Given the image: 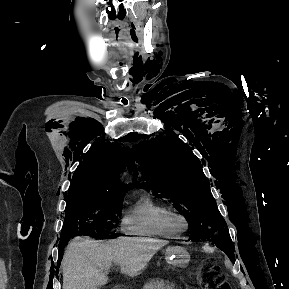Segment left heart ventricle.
<instances>
[{
    "instance_id": "left-heart-ventricle-1",
    "label": "left heart ventricle",
    "mask_w": 289,
    "mask_h": 289,
    "mask_svg": "<svg viewBox=\"0 0 289 289\" xmlns=\"http://www.w3.org/2000/svg\"><path fill=\"white\" fill-rule=\"evenodd\" d=\"M175 227H176V228H182V227H183V223L180 222L179 220H177V221L175 222Z\"/></svg>"
}]
</instances>
